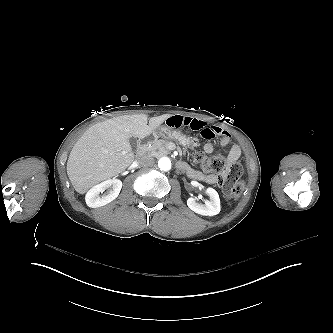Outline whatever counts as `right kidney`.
<instances>
[{
  "mask_svg": "<svg viewBox=\"0 0 333 333\" xmlns=\"http://www.w3.org/2000/svg\"><path fill=\"white\" fill-rule=\"evenodd\" d=\"M122 188V182L117 179L107 180L94 188L86 195V203L91 208L105 206L115 200ZM107 191L106 194L104 192Z\"/></svg>",
  "mask_w": 333,
  "mask_h": 333,
  "instance_id": "1",
  "label": "right kidney"
}]
</instances>
